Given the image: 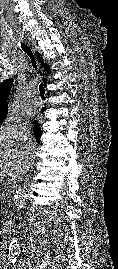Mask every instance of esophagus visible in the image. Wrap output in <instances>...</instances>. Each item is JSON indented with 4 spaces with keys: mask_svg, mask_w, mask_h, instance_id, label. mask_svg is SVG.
<instances>
[{
    "mask_svg": "<svg viewBox=\"0 0 118 269\" xmlns=\"http://www.w3.org/2000/svg\"><path fill=\"white\" fill-rule=\"evenodd\" d=\"M32 50L35 51V48L33 46H31Z\"/></svg>",
    "mask_w": 118,
    "mask_h": 269,
    "instance_id": "34e87169",
    "label": "esophagus"
}]
</instances>
